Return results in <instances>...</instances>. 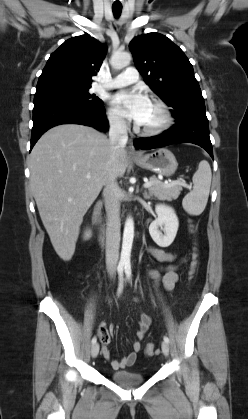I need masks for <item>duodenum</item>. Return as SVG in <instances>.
I'll use <instances>...</instances> for the list:
<instances>
[{
    "label": "duodenum",
    "instance_id": "obj_1",
    "mask_svg": "<svg viewBox=\"0 0 248 419\" xmlns=\"http://www.w3.org/2000/svg\"><path fill=\"white\" fill-rule=\"evenodd\" d=\"M102 207H103L102 201H98L95 204V207L93 209V214H92L93 225L96 228L99 241H101V242L104 241V239H105V228H104V225H103L102 219H101Z\"/></svg>",
    "mask_w": 248,
    "mask_h": 419
}]
</instances>
